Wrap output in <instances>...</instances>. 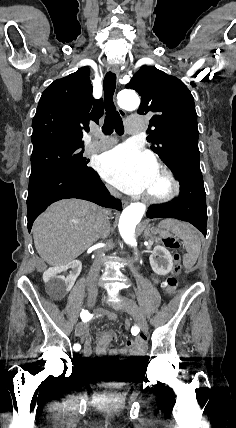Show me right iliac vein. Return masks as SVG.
<instances>
[{"label": "right iliac vein", "mask_w": 236, "mask_h": 428, "mask_svg": "<svg viewBox=\"0 0 236 428\" xmlns=\"http://www.w3.org/2000/svg\"><path fill=\"white\" fill-rule=\"evenodd\" d=\"M85 300L88 305H91V307L93 308L96 307L97 298L95 297L94 294H87L85 297ZM85 341H87V336L84 334L82 337H80V343L82 344Z\"/></svg>", "instance_id": "obj_1"}]
</instances>
